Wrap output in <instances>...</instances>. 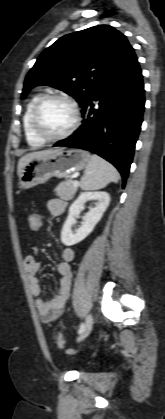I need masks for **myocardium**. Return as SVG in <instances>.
Listing matches in <instances>:
<instances>
[{
    "label": "myocardium",
    "instance_id": "myocardium-1",
    "mask_svg": "<svg viewBox=\"0 0 165 419\" xmlns=\"http://www.w3.org/2000/svg\"><path fill=\"white\" fill-rule=\"evenodd\" d=\"M50 100H58V101H62L66 104H68L70 106V108L73 111V122L72 124L69 126V128L64 131L61 134L58 135H48L46 134L40 125V121H39V113L40 110L42 108V106ZM80 120H81V114H80V110L78 105L75 103L74 100H72L71 98L62 95V94H46L41 96L36 103L34 104L32 111H31V126H32V130L35 133V135L40 138L41 140H43L44 142H55V141H59V140H63L67 137H69L70 135H72L75 130L78 128L79 124H80Z\"/></svg>",
    "mask_w": 165,
    "mask_h": 419
}]
</instances>
